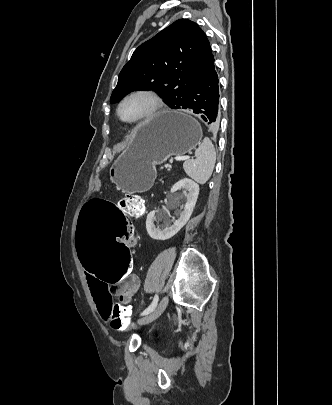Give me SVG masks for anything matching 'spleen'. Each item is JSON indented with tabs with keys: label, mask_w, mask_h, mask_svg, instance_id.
Wrapping results in <instances>:
<instances>
[{
	"label": "spleen",
	"mask_w": 332,
	"mask_h": 405,
	"mask_svg": "<svg viewBox=\"0 0 332 405\" xmlns=\"http://www.w3.org/2000/svg\"><path fill=\"white\" fill-rule=\"evenodd\" d=\"M195 156V159L184 162V171L194 181L205 184L211 177L216 162L215 148L208 137H205L196 149Z\"/></svg>",
	"instance_id": "3e777b00"
}]
</instances>
